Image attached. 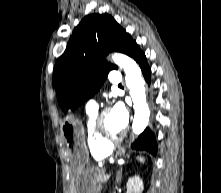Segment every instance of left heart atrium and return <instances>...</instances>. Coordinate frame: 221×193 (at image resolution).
<instances>
[{
	"instance_id": "obj_1",
	"label": "left heart atrium",
	"mask_w": 221,
	"mask_h": 193,
	"mask_svg": "<svg viewBox=\"0 0 221 193\" xmlns=\"http://www.w3.org/2000/svg\"><path fill=\"white\" fill-rule=\"evenodd\" d=\"M111 113L118 124L124 129L129 120V114L124 104L121 102L115 103L111 110Z\"/></svg>"
}]
</instances>
